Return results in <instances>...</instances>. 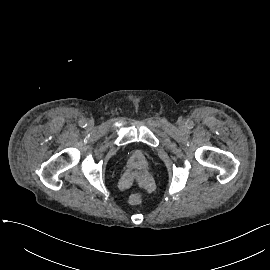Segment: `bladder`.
<instances>
[{
	"mask_svg": "<svg viewBox=\"0 0 270 270\" xmlns=\"http://www.w3.org/2000/svg\"><path fill=\"white\" fill-rule=\"evenodd\" d=\"M135 156H136V158L140 159V156L137 152H135Z\"/></svg>",
	"mask_w": 270,
	"mask_h": 270,
	"instance_id": "bladder-1",
	"label": "bladder"
}]
</instances>
